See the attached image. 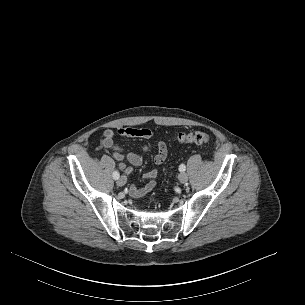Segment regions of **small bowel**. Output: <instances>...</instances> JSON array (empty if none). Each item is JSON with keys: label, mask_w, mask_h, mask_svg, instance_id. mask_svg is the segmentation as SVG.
Returning <instances> with one entry per match:
<instances>
[{"label": "small bowel", "mask_w": 305, "mask_h": 305, "mask_svg": "<svg viewBox=\"0 0 305 305\" xmlns=\"http://www.w3.org/2000/svg\"><path fill=\"white\" fill-rule=\"evenodd\" d=\"M116 134L121 137H138L142 139H150L153 136V132L150 129L147 128H131V127H125V128H119L116 132H114L112 129H106L103 132V138H102V145L106 149H109L112 151V156L117 161H120L119 167L120 169L125 172L126 174H131L133 172V169L131 167H128L123 161L126 159L128 162L133 166H140L143 163L144 155L148 152V147L144 146L142 148L141 153H135V152H127L125 153L123 148L118 146L115 143V136ZM168 154L167 145L164 141H158L157 143V153L154 157V162L157 165L162 164ZM157 170L151 169L144 173L143 177L149 182L141 188H137L134 185H132L129 189L130 194L133 197L140 198L152 191L156 185V182L154 179L157 177Z\"/></svg>", "instance_id": "obj_1"}]
</instances>
